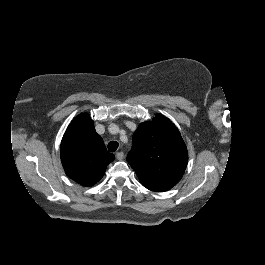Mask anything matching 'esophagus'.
Wrapping results in <instances>:
<instances>
[{
  "instance_id": "1",
  "label": "esophagus",
  "mask_w": 265,
  "mask_h": 265,
  "mask_svg": "<svg viewBox=\"0 0 265 265\" xmlns=\"http://www.w3.org/2000/svg\"><path fill=\"white\" fill-rule=\"evenodd\" d=\"M116 158L121 161L124 158V153L123 152H117Z\"/></svg>"
}]
</instances>
